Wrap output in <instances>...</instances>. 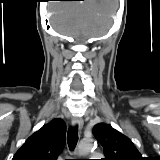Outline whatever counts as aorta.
Here are the masks:
<instances>
[{
	"mask_svg": "<svg viewBox=\"0 0 160 160\" xmlns=\"http://www.w3.org/2000/svg\"><path fill=\"white\" fill-rule=\"evenodd\" d=\"M95 146L94 140L92 139H86L82 141L79 145V153L80 154H85L92 150Z\"/></svg>",
	"mask_w": 160,
	"mask_h": 160,
	"instance_id": "obj_1",
	"label": "aorta"
}]
</instances>
